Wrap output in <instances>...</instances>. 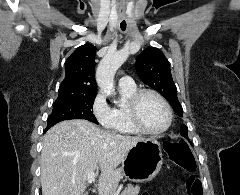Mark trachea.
I'll return each instance as SVG.
<instances>
[{"label": "trachea", "mask_w": 240, "mask_h": 195, "mask_svg": "<svg viewBox=\"0 0 240 195\" xmlns=\"http://www.w3.org/2000/svg\"><path fill=\"white\" fill-rule=\"evenodd\" d=\"M121 30L125 31L126 30V26H121Z\"/></svg>", "instance_id": "obj_1"}]
</instances>
